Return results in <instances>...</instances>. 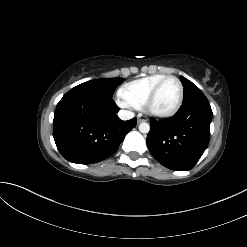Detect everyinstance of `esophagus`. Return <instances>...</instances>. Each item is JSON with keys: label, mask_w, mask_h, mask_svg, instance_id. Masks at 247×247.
<instances>
[{"label": "esophagus", "mask_w": 247, "mask_h": 247, "mask_svg": "<svg viewBox=\"0 0 247 247\" xmlns=\"http://www.w3.org/2000/svg\"><path fill=\"white\" fill-rule=\"evenodd\" d=\"M144 121H145V119L140 118V117H138V119H137V122H138V123H142V122H144Z\"/></svg>", "instance_id": "1"}]
</instances>
